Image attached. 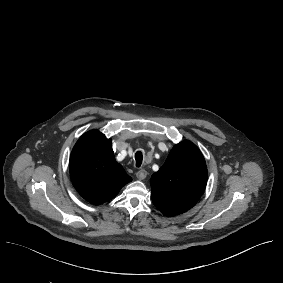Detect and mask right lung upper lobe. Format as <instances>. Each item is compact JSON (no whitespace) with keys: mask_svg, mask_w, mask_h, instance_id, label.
Wrapping results in <instances>:
<instances>
[{"mask_svg":"<svg viewBox=\"0 0 283 283\" xmlns=\"http://www.w3.org/2000/svg\"><path fill=\"white\" fill-rule=\"evenodd\" d=\"M69 169L75 189L96 205L114 198L132 180L115 160L111 139L97 130L86 132L77 141Z\"/></svg>","mask_w":283,"mask_h":283,"instance_id":"obj_1","label":"right lung upper lobe"}]
</instances>
